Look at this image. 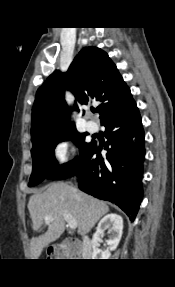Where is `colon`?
<instances>
[{"instance_id": "colon-1", "label": "colon", "mask_w": 175, "mask_h": 287, "mask_svg": "<svg viewBox=\"0 0 175 287\" xmlns=\"http://www.w3.org/2000/svg\"><path fill=\"white\" fill-rule=\"evenodd\" d=\"M71 252L78 253L80 251V246L77 244H73L70 248ZM59 254L58 248L50 247L48 250V256L50 257H57Z\"/></svg>"}]
</instances>
